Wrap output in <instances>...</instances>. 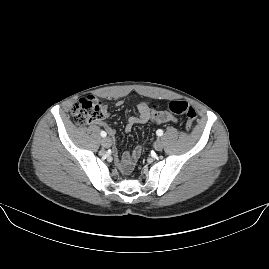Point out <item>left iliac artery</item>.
Segmentation results:
<instances>
[{
	"instance_id": "44dca946",
	"label": "left iliac artery",
	"mask_w": 269,
	"mask_h": 269,
	"mask_svg": "<svg viewBox=\"0 0 269 269\" xmlns=\"http://www.w3.org/2000/svg\"><path fill=\"white\" fill-rule=\"evenodd\" d=\"M156 134H157L158 136H162V135H163V131H162L161 129H158V130L156 131Z\"/></svg>"
}]
</instances>
